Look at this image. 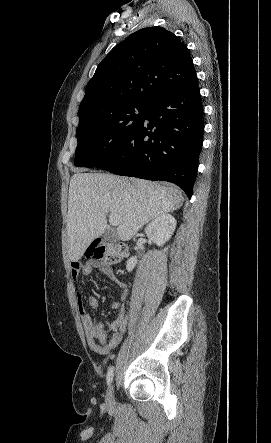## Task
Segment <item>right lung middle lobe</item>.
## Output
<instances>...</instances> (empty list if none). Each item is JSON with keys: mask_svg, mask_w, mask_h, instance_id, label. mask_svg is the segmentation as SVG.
Segmentation results:
<instances>
[{"mask_svg": "<svg viewBox=\"0 0 271 443\" xmlns=\"http://www.w3.org/2000/svg\"><path fill=\"white\" fill-rule=\"evenodd\" d=\"M149 103L127 102L96 117L80 120L75 166L99 167L126 141L143 120Z\"/></svg>", "mask_w": 271, "mask_h": 443, "instance_id": "obj_1", "label": "right lung middle lobe"}]
</instances>
